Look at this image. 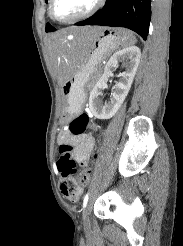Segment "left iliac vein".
I'll return each mask as SVG.
<instances>
[{"mask_svg": "<svg viewBox=\"0 0 183 246\" xmlns=\"http://www.w3.org/2000/svg\"><path fill=\"white\" fill-rule=\"evenodd\" d=\"M89 208L90 204H88V206L84 209L83 212V224L86 229L89 228Z\"/></svg>", "mask_w": 183, "mask_h": 246, "instance_id": "1", "label": "left iliac vein"}]
</instances>
